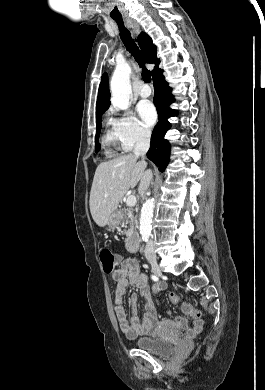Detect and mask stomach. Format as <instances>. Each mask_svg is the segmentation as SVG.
<instances>
[{"mask_svg":"<svg viewBox=\"0 0 265 390\" xmlns=\"http://www.w3.org/2000/svg\"><path fill=\"white\" fill-rule=\"evenodd\" d=\"M119 223H120V216L118 215V213L114 212L111 215L109 222H108L109 230H114L115 228H117Z\"/></svg>","mask_w":265,"mask_h":390,"instance_id":"stomach-1","label":"stomach"}]
</instances>
